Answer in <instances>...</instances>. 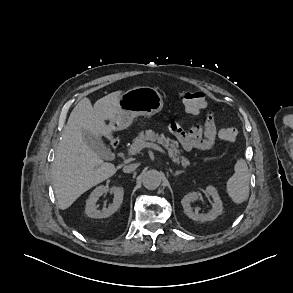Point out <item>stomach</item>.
Masks as SVG:
<instances>
[{"label":"stomach","mask_w":293,"mask_h":293,"mask_svg":"<svg viewBox=\"0 0 293 293\" xmlns=\"http://www.w3.org/2000/svg\"><path fill=\"white\" fill-rule=\"evenodd\" d=\"M119 113L110 120L109 129L117 131L129 127L137 116H152L164 106L161 94L152 87H136L118 97Z\"/></svg>","instance_id":"0dacf381"}]
</instances>
